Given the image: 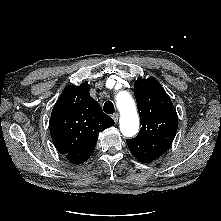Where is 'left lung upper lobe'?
Instances as JSON below:
<instances>
[{
  "label": "left lung upper lobe",
  "mask_w": 221,
  "mask_h": 221,
  "mask_svg": "<svg viewBox=\"0 0 221 221\" xmlns=\"http://www.w3.org/2000/svg\"><path fill=\"white\" fill-rule=\"evenodd\" d=\"M134 95L142 128L133 139H127L132 155L148 163L170 147L178 127L176 110L156 79L138 80L134 84Z\"/></svg>",
  "instance_id": "5c2ea615"
}]
</instances>
